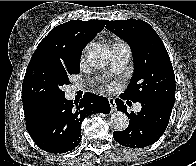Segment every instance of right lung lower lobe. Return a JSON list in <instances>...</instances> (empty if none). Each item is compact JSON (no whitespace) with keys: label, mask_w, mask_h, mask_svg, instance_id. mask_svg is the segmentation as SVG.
<instances>
[{"label":"right lung lower lobe","mask_w":196,"mask_h":166,"mask_svg":"<svg viewBox=\"0 0 196 166\" xmlns=\"http://www.w3.org/2000/svg\"><path fill=\"white\" fill-rule=\"evenodd\" d=\"M26 129L39 148L54 154L75 149L81 141V122L92 113L110 112L105 97L85 93L79 102L65 96L23 103Z\"/></svg>","instance_id":"obj_1"}]
</instances>
